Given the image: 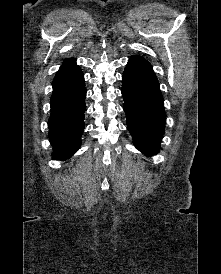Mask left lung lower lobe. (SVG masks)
I'll return each mask as SVG.
<instances>
[{"label":"left lung lower lobe","mask_w":221,"mask_h":274,"mask_svg":"<svg viewBox=\"0 0 221 274\" xmlns=\"http://www.w3.org/2000/svg\"><path fill=\"white\" fill-rule=\"evenodd\" d=\"M122 96L134 146L146 155L158 153L165 130L164 100L152 66L143 57L129 59L122 77Z\"/></svg>","instance_id":"1"}]
</instances>
